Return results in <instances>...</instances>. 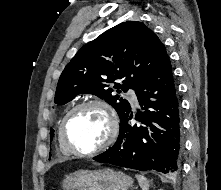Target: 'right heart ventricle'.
<instances>
[{
    "mask_svg": "<svg viewBox=\"0 0 221 190\" xmlns=\"http://www.w3.org/2000/svg\"><path fill=\"white\" fill-rule=\"evenodd\" d=\"M58 145H59V149L63 155H67V156L71 155V153L66 149V147L61 142L59 133H58Z\"/></svg>",
    "mask_w": 221,
    "mask_h": 190,
    "instance_id": "right-heart-ventricle-1",
    "label": "right heart ventricle"
}]
</instances>
